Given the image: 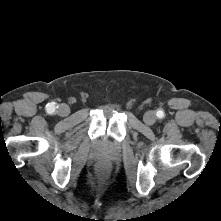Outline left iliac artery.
Segmentation results:
<instances>
[{"instance_id":"left-iliac-artery-1","label":"left iliac artery","mask_w":221,"mask_h":221,"mask_svg":"<svg viewBox=\"0 0 221 221\" xmlns=\"http://www.w3.org/2000/svg\"><path fill=\"white\" fill-rule=\"evenodd\" d=\"M157 117H158V118H162V117H164V112L161 111V110L158 111V112H157Z\"/></svg>"}]
</instances>
